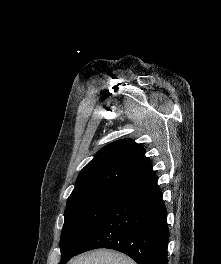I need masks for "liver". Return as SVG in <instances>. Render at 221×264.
<instances>
[{
	"label": "liver",
	"instance_id": "liver-1",
	"mask_svg": "<svg viewBox=\"0 0 221 264\" xmlns=\"http://www.w3.org/2000/svg\"><path fill=\"white\" fill-rule=\"evenodd\" d=\"M68 264H136L128 256L112 250H96L72 259Z\"/></svg>",
	"mask_w": 221,
	"mask_h": 264
}]
</instances>
